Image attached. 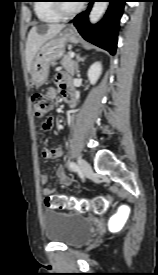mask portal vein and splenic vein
<instances>
[{"mask_svg": "<svg viewBox=\"0 0 158 275\" xmlns=\"http://www.w3.org/2000/svg\"><path fill=\"white\" fill-rule=\"evenodd\" d=\"M75 56V53L74 52H71V57L73 58Z\"/></svg>", "mask_w": 158, "mask_h": 275, "instance_id": "18ae733b", "label": "portal vein and splenic vein"}]
</instances>
